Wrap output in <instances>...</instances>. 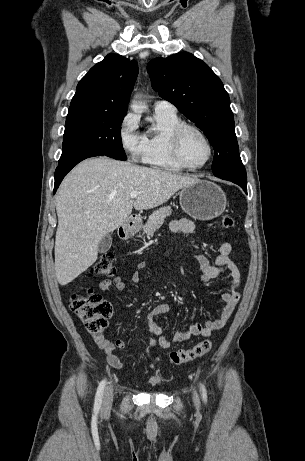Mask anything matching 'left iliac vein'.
Segmentation results:
<instances>
[{
    "mask_svg": "<svg viewBox=\"0 0 305 461\" xmlns=\"http://www.w3.org/2000/svg\"><path fill=\"white\" fill-rule=\"evenodd\" d=\"M193 402L198 407L199 406V396L196 390H193Z\"/></svg>",
    "mask_w": 305,
    "mask_h": 461,
    "instance_id": "1",
    "label": "left iliac vein"
}]
</instances>
